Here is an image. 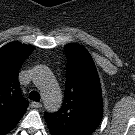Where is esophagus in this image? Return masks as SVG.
Listing matches in <instances>:
<instances>
[{
	"label": "esophagus",
	"instance_id": "esophagus-1",
	"mask_svg": "<svg viewBox=\"0 0 135 135\" xmlns=\"http://www.w3.org/2000/svg\"><path fill=\"white\" fill-rule=\"evenodd\" d=\"M31 106L39 108L41 105L39 103H37V102H32Z\"/></svg>",
	"mask_w": 135,
	"mask_h": 135
}]
</instances>
